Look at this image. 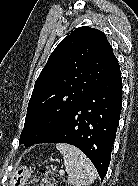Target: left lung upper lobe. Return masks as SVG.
<instances>
[{
	"mask_svg": "<svg viewBox=\"0 0 138 186\" xmlns=\"http://www.w3.org/2000/svg\"><path fill=\"white\" fill-rule=\"evenodd\" d=\"M117 63L103 32L86 26L72 31L35 82L19 144L32 146L51 133Z\"/></svg>",
	"mask_w": 138,
	"mask_h": 186,
	"instance_id": "left-lung-upper-lobe-1",
	"label": "left lung upper lobe"
}]
</instances>
